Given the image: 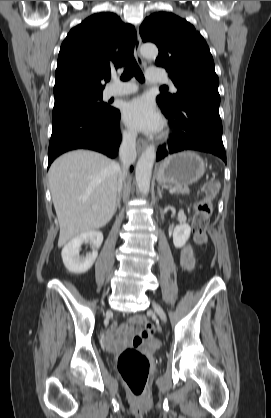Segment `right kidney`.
Here are the masks:
<instances>
[{"instance_id": "ca27d5eb", "label": "right kidney", "mask_w": 271, "mask_h": 418, "mask_svg": "<svg viewBox=\"0 0 271 418\" xmlns=\"http://www.w3.org/2000/svg\"><path fill=\"white\" fill-rule=\"evenodd\" d=\"M90 242L93 252L85 257L80 256L81 245ZM103 242V234L100 231H89L80 234L70 240L62 249V259L66 269L71 273H85L94 264L98 252L97 249Z\"/></svg>"}]
</instances>
